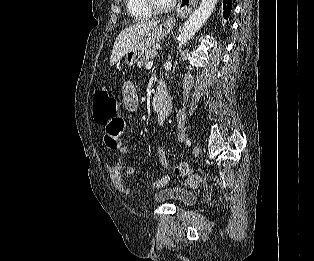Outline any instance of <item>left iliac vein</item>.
Here are the masks:
<instances>
[{
	"label": "left iliac vein",
	"instance_id": "left-iliac-vein-1",
	"mask_svg": "<svg viewBox=\"0 0 314 261\" xmlns=\"http://www.w3.org/2000/svg\"><path fill=\"white\" fill-rule=\"evenodd\" d=\"M192 153L195 158L198 157L201 153V148L198 145H195Z\"/></svg>",
	"mask_w": 314,
	"mask_h": 261
}]
</instances>
